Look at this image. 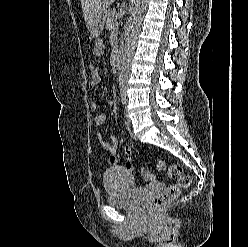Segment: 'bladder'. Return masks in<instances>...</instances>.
Returning <instances> with one entry per match:
<instances>
[{"label": "bladder", "instance_id": "bladder-1", "mask_svg": "<svg viewBox=\"0 0 248 247\" xmlns=\"http://www.w3.org/2000/svg\"><path fill=\"white\" fill-rule=\"evenodd\" d=\"M107 201L114 207H133L143 188L135 185L129 171L122 167L109 168L103 176Z\"/></svg>", "mask_w": 248, "mask_h": 247}]
</instances>
